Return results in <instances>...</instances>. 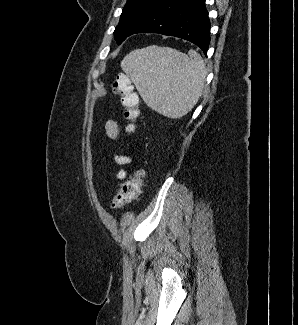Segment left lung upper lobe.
<instances>
[{
  "label": "left lung upper lobe",
  "mask_w": 298,
  "mask_h": 325,
  "mask_svg": "<svg viewBox=\"0 0 298 325\" xmlns=\"http://www.w3.org/2000/svg\"><path fill=\"white\" fill-rule=\"evenodd\" d=\"M161 2L162 0H128L114 31L117 43H122L130 36L136 25Z\"/></svg>",
  "instance_id": "5c2ea615"
}]
</instances>
